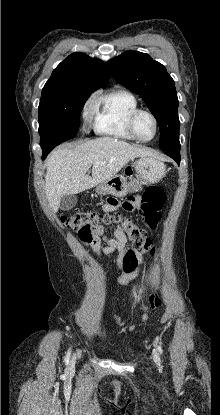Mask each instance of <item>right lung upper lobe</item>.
<instances>
[{"label": "right lung upper lobe", "instance_id": "1", "mask_svg": "<svg viewBox=\"0 0 220 415\" xmlns=\"http://www.w3.org/2000/svg\"><path fill=\"white\" fill-rule=\"evenodd\" d=\"M110 79L103 61L76 52L69 55L52 72L44 88H62L94 92Z\"/></svg>", "mask_w": 220, "mask_h": 415}]
</instances>
